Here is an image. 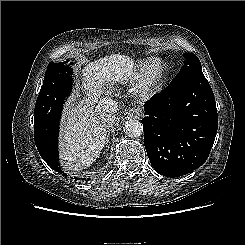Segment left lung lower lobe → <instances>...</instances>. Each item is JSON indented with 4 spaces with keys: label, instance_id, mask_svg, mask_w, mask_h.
<instances>
[{
    "label": "left lung lower lobe",
    "instance_id": "0a47b994",
    "mask_svg": "<svg viewBox=\"0 0 245 245\" xmlns=\"http://www.w3.org/2000/svg\"><path fill=\"white\" fill-rule=\"evenodd\" d=\"M144 144L161 175L178 177L208 158L218 126L213 91L205 76L168 86L144 105Z\"/></svg>",
    "mask_w": 245,
    "mask_h": 245
}]
</instances>
